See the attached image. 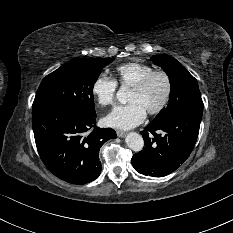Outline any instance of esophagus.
<instances>
[{
	"label": "esophagus",
	"mask_w": 233,
	"mask_h": 233,
	"mask_svg": "<svg viewBox=\"0 0 233 233\" xmlns=\"http://www.w3.org/2000/svg\"><path fill=\"white\" fill-rule=\"evenodd\" d=\"M116 133H117V136L120 138H123L126 135V132L120 131V130H117Z\"/></svg>",
	"instance_id": "esophagus-1"
}]
</instances>
